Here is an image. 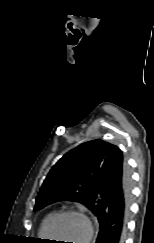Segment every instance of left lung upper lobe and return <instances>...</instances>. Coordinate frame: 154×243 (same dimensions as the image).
<instances>
[{
	"mask_svg": "<svg viewBox=\"0 0 154 243\" xmlns=\"http://www.w3.org/2000/svg\"><path fill=\"white\" fill-rule=\"evenodd\" d=\"M113 147L116 146L102 140H93L66 153L44 180L34 211L48 204L67 200L79 202L94 213L97 199L94 184Z\"/></svg>",
	"mask_w": 154,
	"mask_h": 243,
	"instance_id": "5c2ea615",
	"label": "left lung upper lobe"
}]
</instances>
